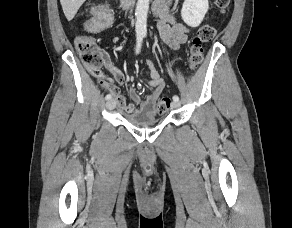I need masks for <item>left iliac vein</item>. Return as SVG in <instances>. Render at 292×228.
I'll return each mask as SVG.
<instances>
[{
    "label": "left iliac vein",
    "instance_id": "4c4485c4",
    "mask_svg": "<svg viewBox=\"0 0 292 228\" xmlns=\"http://www.w3.org/2000/svg\"><path fill=\"white\" fill-rule=\"evenodd\" d=\"M172 107L173 108H179L180 107V102L179 101H173L172 102Z\"/></svg>",
    "mask_w": 292,
    "mask_h": 228
}]
</instances>
